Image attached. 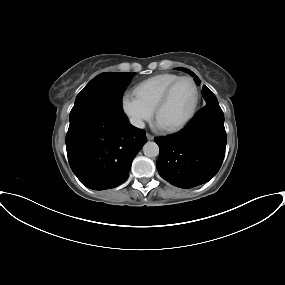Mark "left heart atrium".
<instances>
[{
	"label": "left heart atrium",
	"mask_w": 285,
	"mask_h": 285,
	"mask_svg": "<svg viewBox=\"0 0 285 285\" xmlns=\"http://www.w3.org/2000/svg\"><path fill=\"white\" fill-rule=\"evenodd\" d=\"M156 127L159 129H164L165 127L157 120L156 121Z\"/></svg>",
	"instance_id": "1"
}]
</instances>
